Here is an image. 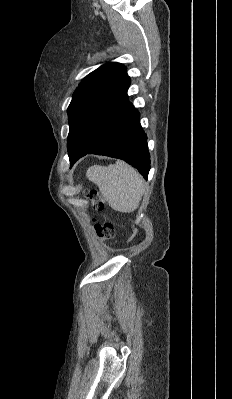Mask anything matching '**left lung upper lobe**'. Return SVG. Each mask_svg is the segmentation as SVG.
I'll return each mask as SVG.
<instances>
[{
	"instance_id": "left-lung-upper-lobe-1",
	"label": "left lung upper lobe",
	"mask_w": 232,
	"mask_h": 399,
	"mask_svg": "<svg viewBox=\"0 0 232 399\" xmlns=\"http://www.w3.org/2000/svg\"><path fill=\"white\" fill-rule=\"evenodd\" d=\"M129 85L126 68L116 62L100 66L79 84L67 110L70 164L106 139L132 110Z\"/></svg>"
}]
</instances>
